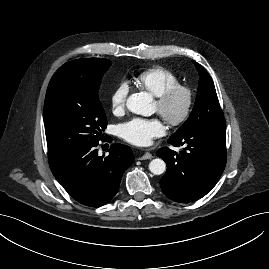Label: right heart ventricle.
Masks as SVG:
<instances>
[{"label":"right heart ventricle","mask_w":269,"mask_h":269,"mask_svg":"<svg viewBox=\"0 0 269 269\" xmlns=\"http://www.w3.org/2000/svg\"><path fill=\"white\" fill-rule=\"evenodd\" d=\"M135 82L141 89L157 96L169 87L179 84V78L170 69L158 66L140 72Z\"/></svg>","instance_id":"1"}]
</instances>
